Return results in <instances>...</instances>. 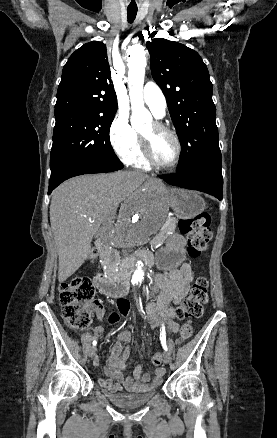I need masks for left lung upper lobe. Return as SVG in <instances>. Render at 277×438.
<instances>
[{"label": "left lung upper lobe", "instance_id": "1", "mask_svg": "<svg viewBox=\"0 0 277 438\" xmlns=\"http://www.w3.org/2000/svg\"><path fill=\"white\" fill-rule=\"evenodd\" d=\"M154 35L151 33L149 37ZM146 45L152 77L166 97L182 145L178 173L222 165L213 85L200 55L183 44L163 38L153 39Z\"/></svg>", "mask_w": 277, "mask_h": 438}]
</instances>
